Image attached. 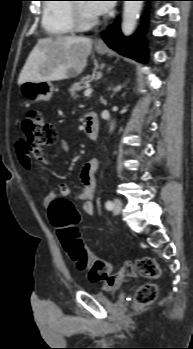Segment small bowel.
<instances>
[{
  "label": "small bowel",
  "instance_id": "1",
  "mask_svg": "<svg viewBox=\"0 0 193 349\" xmlns=\"http://www.w3.org/2000/svg\"><path fill=\"white\" fill-rule=\"evenodd\" d=\"M60 148L63 152H68L70 147L67 141H60ZM17 155L20 164L27 171H32L33 166L30 155L25 149L23 140H20L16 144ZM98 160L91 159L87 161L80 171L81 186L78 190L73 189L67 184H61L59 186V192H51L47 194L43 199L44 206H49L50 203L57 198H69L76 195V198L81 202L82 210L87 215H93L94 213V197L96 190V174L98 171ZM136 269L131 262H126L122 268L117 272L111 273L106 280L105 286L109 289L118 287L126 278L135 277Z\"/></svg>",
  "mask_w": 193,
  "mask_h": 349
}]
</instances>
